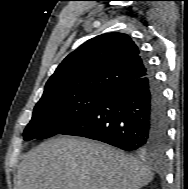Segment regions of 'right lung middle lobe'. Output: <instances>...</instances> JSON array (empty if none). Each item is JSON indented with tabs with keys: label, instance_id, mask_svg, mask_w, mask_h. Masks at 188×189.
Instances as JSON below:
<instances>
[{
	"label": "right lung middle lobe",
	"instance_id": "right-lung-middle-lobe-1",
	"mask_svg": "<svg viewBox=\"0 0 188 189\" xmlns=\"http://www.w3.org/2000/svg\"><path fill=\"white\" fill-rule=\"evenodd\" d=\"M111 91L94 88L42 97L23 133L24 140L60 134L83 119Z\"/></svg>",
	"mask_w": 188,
	"mask_h": 189
}]
</instances>
